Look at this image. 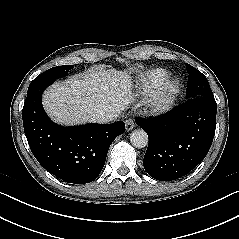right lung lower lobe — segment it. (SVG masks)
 Instances as JSON below:
<instances>
[{"label": "right lung lower lobe", "instance_id": "98d812e1", "mask_svg": "<svg viewBox=\"0 0 239 239\" xmlns=\"http://www.w3.org/2000/svg\"><path fill=\"white\" fill-rule=\"evenodd\" d=\"M49 85L28 88L24 102L22 118L31 151L43 168L63 181L89 183L100 174L109 146L125 131V124L62 127L53 123L41 103Z\"/></svg>", "mask_w": 239, "mask_h": 239}]
</instances>
